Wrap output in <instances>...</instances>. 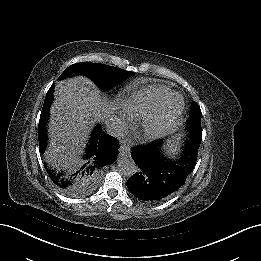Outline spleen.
Listing matches in <instances>:
<instances>
[{
	"instance_id": "3e777b00",
	"label": "spleen",
	"mask_w": 261,
	"mask_h": 261,
	"mask_svg": "<svg viewBox=\"0 0 261 261\" xmlns=\"http://www.w3.org/2000/svg\"><path fill=\"white\" fill-rule=\"evenodd\" d=\"M179 145V142H176L174 144H171L168 146V152L169 153H175L178 149L177 146Z\"/></svg>"
}]
</instances>
